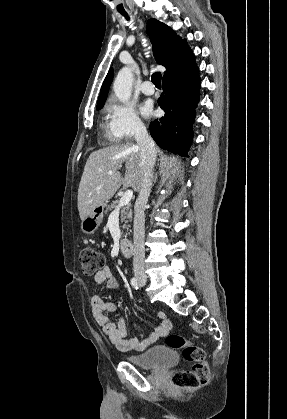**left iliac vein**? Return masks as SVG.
<instances>
[{"instance_id": "4c4485c4", "label": "left iliac vein", "mask_w": 287, "mask_h": 419, "mask_svg": "<svg viewBox=\"0 0 287 419\" xmlns=\"http://www.w3.org/2000/svg\"><path fill=\"white\" fill-rule=\"evenodd\" d=\"M140 286H143V283L142 282H140Z\"/></svg>"}]
</instances>
